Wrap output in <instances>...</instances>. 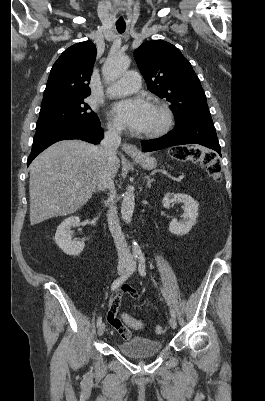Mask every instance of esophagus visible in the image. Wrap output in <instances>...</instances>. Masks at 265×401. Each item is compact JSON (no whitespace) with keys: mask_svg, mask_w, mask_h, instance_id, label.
Segmentation results:
<instances>
[{"mask_svg":"<svg viewBox=\"0 0 265 401\" xmlns=\"http://www.w3.org/2000/svg\"><path fill=\"white\" fill-rule=\"evenodd\" d=\"M122 149L127 153V155L134 157L138 154V149L135 145H129L128 143H123Z\"/></svg>","mask_w":265,"mask_h":401,"instance_id":"obj_1","label":"esophagus"}]
</instances>
